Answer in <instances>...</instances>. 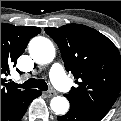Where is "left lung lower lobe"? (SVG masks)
Returning a JSON list of instances; mask_svg holds the SVG:
<instances>
[{
	"label": "left lung lower lobe",
	"mask_w": 121,
	"mask_h": 121,
	"mask_svg": "<svg viewBox=\"0 0 121 121\" xmlns=\"http://www.w3.org/2000/svg\"><path fill=\"white\" fill-rule=\"evenodd\" d=\"M101 119L102 117L83 112L72 106L66 115L58 116V121H100Z\"/></svg>",
	"instance_id": "1"
}]
</instances>
